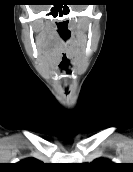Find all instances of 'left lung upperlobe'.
Wrapping results in <instances>:
<instances>
[{"instance_id": "5c2ea615", "label": "left lung upper lobe", "mask_w": 133, "mask_h": 172, "mask_svg": "<svg viewBox=\"0 0 133 172\" xmlns=\"http://www.w3.org/2000/svg\"><path fill=\"white\" fill-rule=\"evenodd\" d=\"M88 165L93 169L94 172H104L113 168L115 164L107 159L98 158Z\"/></svg>"}]
</instances>
